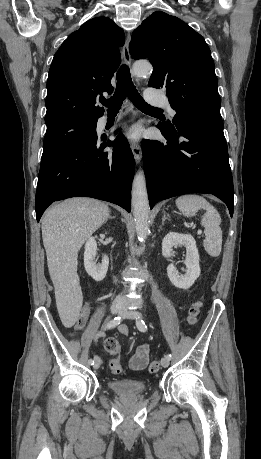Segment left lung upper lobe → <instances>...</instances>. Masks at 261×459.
<instances>
[{"label":"left lung upper lobe","mask_w":261,"mask_h":459,"mask_svg":"<svg viewBox=\"0 0 261 459\" xmlns=\"http://www.w3.org/2000/svg\"><path fill=\"white\" fill-rule=\"evenodd\" d=\"M134 59L149 58L153 73L148 86L164 88L176 111L175 127L223 124L215 66L203 37L189 25L157 11L132 34L129 45Z\"/></svg>","instance_id":"1"}]
</instances>
